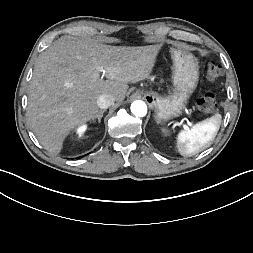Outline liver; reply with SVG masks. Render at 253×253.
<instances>
[{
  "label": "liver",
  "mask_w": 253,
  "mask_h": 253,
  "mask_svg": "<svg viewBox=\"0 0 253 253\" xmlns=\"http://www.w3.org/2000/svg\"><path fill=\"white\" fill-rule=\"evenodd\" d=\"M159 49L160 45L109 46L77 38L51 46L35 65L26 113L44 149L58 154L70 131L97 115L100 95L123 101L128 83L149 77Z\"/></svg>",
  "instance_id": "6515ba94"
}]
</instances>
